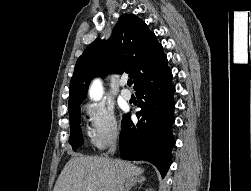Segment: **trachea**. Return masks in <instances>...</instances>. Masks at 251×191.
<instances>
[{
	"label": "trachea",
	"instance_id": "obj_1",
	"mask_svg": "<svg viewBox=\"0 0 251 191\" xmlns=\"http://www.w3.org/2000/svg\"><path fill=\"white\" fill-rule=\"evenodd\" d=\"M132 84H133V81H132V80H128V81H127V85H128V86H131Z\"/></svg>",
	"mask_w": 251,
	"mask_h": 191
}]
</instances>
